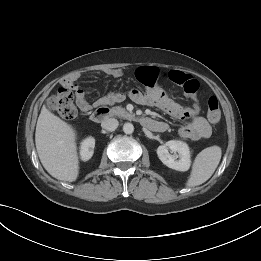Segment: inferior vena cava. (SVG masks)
I'll return each instance as SVG.
<instances>
[{"label":"inferior vena cava","instance_id":"obj_1","mask_svg":"<svg viewBox=\"0 0 261 261\" xmlns=\"http://www.w3.org/2000/svg\"><path fill=\"white\" fill-rule=\"evenodd\" d=\"M118 125L119 122L115 118H107L101 124L102 128L108 131H115Z\"/></svg>","mask_w":261,"mask_h":261}]
</instances>
